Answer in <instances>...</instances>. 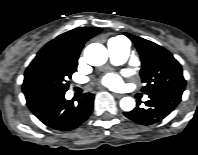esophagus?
I'll return each mask as SVG.
<instances>
[{"label":"esophagus","mask_w":198,"mask_h":155,"mask_svg":"<svg viewBox=\"0 0 198 155\" xmlns=\"http://www.w3.org/2000/svg\"><path fill=\"white\" fill-rule=\"evenodd\" d=\"M113 95L116 97V98H122L124 95L123 94H118V93H113Z\"/></svg>","instance_id":"1"}]
</instances>
